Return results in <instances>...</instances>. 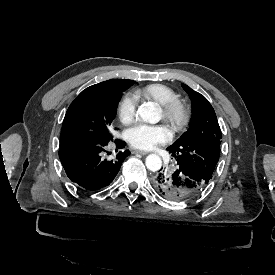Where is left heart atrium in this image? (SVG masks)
I'll return each instance as SVG.
<instances>
[{"instance_id":"39dd6f15","label":"left heart atrium","mask_w":275,"mask_h":275,"mask_svg":"<svg viewBox=\"0 0 275 275\" xmlns=\"http://www.w3.org/2000/svg\"><path fill=\"white\" fill-rule=\"evenodd\" d=\"M173 133L165 124L150 125L138 123L125 132V137L132 148L138 150H152L168 143Z\"/></svg>"}]
</instances>
